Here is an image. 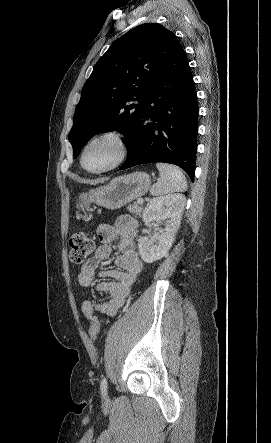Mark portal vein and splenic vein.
<instances>
[{"label":"portal vein and splenic vein","instance_id":"portal-vein-and-splenic-vein-1","mask_svg":"<svg viewBox=\"0 0 271 443\" xmlns=\"http://www.w3.org/2000/svg\"><path fill=\"white\" fill-rule=\"evenodd\" d=\"M137 204H144V200H142V198H138Z\"/></svg>","mask_w":271,"mask_h":443}]
</instances>
